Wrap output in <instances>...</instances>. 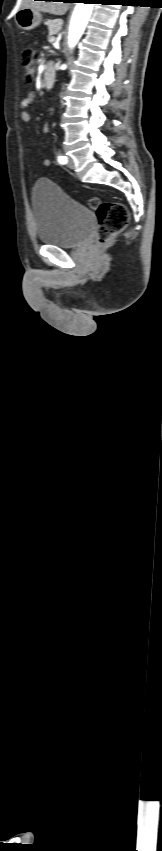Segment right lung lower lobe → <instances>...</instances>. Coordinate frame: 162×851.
<instances>
[{"mask_svg":"<svg viewBox=\"0 0 162 851\" xmlns=\"http://www.w3.org/2000/svg\"><path fill=\"white\" fill-rule=\"evenodd\" d=\"M45 1H55V0H45ZM64 2H72L73 0H63Z\"/></svg>","mask_w":162,"mask_h":851,"instance_id":"98d812e1","label":"right lung lower lobe"}]
</instances>
